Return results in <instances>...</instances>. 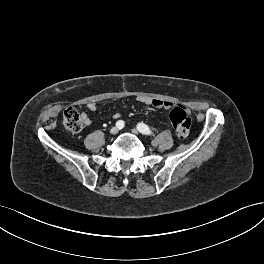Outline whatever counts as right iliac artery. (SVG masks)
I'll use <instances>...</instances> for the list:
<instances>
[{"instance_id":"right-iliac-artery-1","label":"right iliac artery","mask_w":264,"mask_h":264,"mask_svg":"<svg viewBox=\"0 0 264 264\" xmlns=\"http://www.w3.org/2000/svg\"><path fill=\"white\" fill-rule=\"evenodd\" d=\"M116 126L119 128V129H122L124 126H125V123L123 120H118L116 122Z\"/></svg>"}]
</instances>
